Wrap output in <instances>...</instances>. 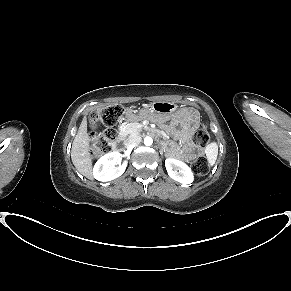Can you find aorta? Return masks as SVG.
Segmentation results:
<instances>
[{"instance_id": "1", "label": "aorta", "mask_w": 291, "mask_h": 291, "mask_svg": "<svg viewBox=\"0 0 291 291\" xmlns=\"http://www.w3.org/2000/svg\"><path fill=\"white\" fill-rule=\"evenodd\" d=\"M144 144H145L146 146H151V145L153 144V139H152L151 137H149V136H146V137L144 138Z\"/></svg>"}]
</instances>
